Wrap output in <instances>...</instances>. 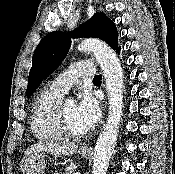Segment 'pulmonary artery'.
Masks as SVG:
<instances>
[{"instance_id": "1", "label": "pulmonary artery", "mask_w": 175, "mask_h": 174, "mask_svg": "<svg viewBox=\"0 0 175 174\" xmlns=\"http://www.w3.org/2000/svg\"><path fill=\"white\" fill-rule=\"evenodd\" d=\"M96 69L89 61H80L73 64L68 71L55 78L49 89L59 94H65L80 78L95 76Z\"/></svg>"}]
</instances>
